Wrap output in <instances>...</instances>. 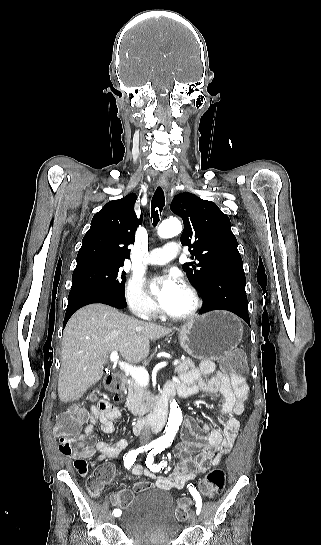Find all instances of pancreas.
<instances>
[{
	"instance_id": "obj_1",
	"label": "pancreas",
	"mask_w": 321,
	"mask_h": 545,
	"mask_svg": "<svg viewBox=\"0 0 321 545\" xmlns=\"http://www.w3.org/2000/svg\"><path fill=\"white\" fill-rule=\"evenodd\" d=\"M191 367H195V363H193L191 359H184V361H181V363L175 367L174 373H178V375L187 373V371H190ZM129 381L126 407H128L132 415H139V417H142V415H145V413H148L149 411L152 395L150 391H148V387L139 385L135 379H129Z\"/></svg>"
}]
</instances>
